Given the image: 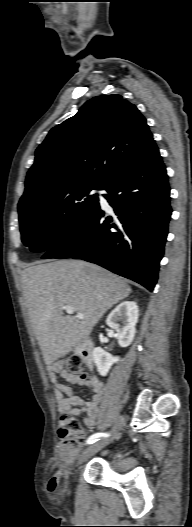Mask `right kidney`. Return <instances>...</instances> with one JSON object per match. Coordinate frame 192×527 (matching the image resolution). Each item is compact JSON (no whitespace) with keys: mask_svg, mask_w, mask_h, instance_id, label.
Returning a JSON list of instances; mask_svg holds the SVG:
<instances>
[{"mask_svg":"<svg viewBox=\"0 0 192 527\" xmlns=\"http://www.w3.org/2000/svg\"><path fill=\"white\" fill-rule=\"evenodd\" d=\"M139 309L135 302L124 301L120 303L107 317L106 323L116 331L118 344L121 347L129 346L136 333V323L138 322ZM122 323V325L119 324ZM93 360L100 375L106 376L111 366L119 361V357H114L100 347L93 351Z\"/></svg>","mask_w":192,"mask_h":527,"instance_id":"obj_1","label":"right kidney"}]
</instances>
